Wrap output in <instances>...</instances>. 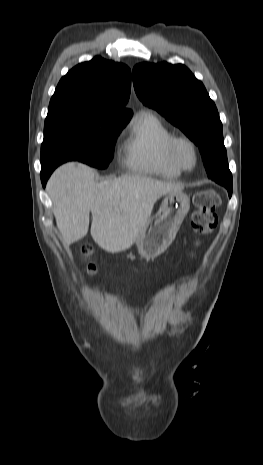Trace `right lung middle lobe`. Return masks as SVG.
<instances>
[{
  "instance_id": "1",
  "label": "right lung middle lobe",
  "mask_w": 263,
  "mask_h": 465,
  "mask_svg": "<svg viewBox=\"0 0 263 465\" xmlns=\"http://www.w3.org/2000/svg\"><path fill=\"white\" fill-rule=\"evenodd\" d=\"M131 115L84 107L49 108L41 145V169L78 160L106 168L113 158L118 134Z\"/></svg>"
}]
</instances>
